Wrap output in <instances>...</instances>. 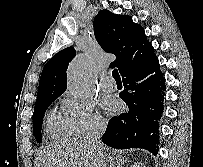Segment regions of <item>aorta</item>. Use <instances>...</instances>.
<instances>
[{"mask_svg": "<svg viewBox=\"0 0 203 167\" xmlns=\"http://www.w3.org/2000/svg\"><path fill=\"white\" fill-rule=\"evenodd\" d=\"M92 78V62L87 55H79L69 65L67 86L70 92L80 98L90 94Z\"/></svg>", "mask_w": 203, "mask_h": 167, "instance_id": "aorta-1", "label": "aorta"}]
</instances>
